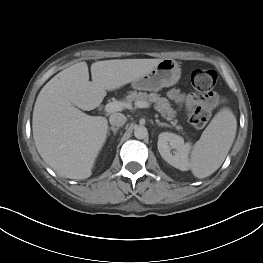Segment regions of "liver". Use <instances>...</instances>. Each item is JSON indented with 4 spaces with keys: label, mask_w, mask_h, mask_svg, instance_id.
<instances>
[{
    "label": "liver",
    "mask_w": 263,
    "mask_h": 263,
    "mask_svg": "<svg viewBox=\"0 0 263 263\" xmlns=\"http://www.w3.org/2000/svg\"><path fill=\"white\" fill-rule=\"evenodd\" d=\"M161 59H114L76 63L55 75L40 91L33 110V138L42 159L59 176H91L108 122L82 112L98 107L107 91L118 89L152 70Z\"/></svg>",
    "instance_id": "6515ba94"
}]
</instances>
